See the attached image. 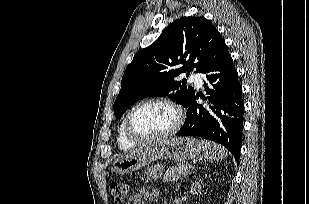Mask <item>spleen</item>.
Masks as SVG:
<instances>
[{
	"label": "spleen",
	"instance_id": "1",
	"mask_svg": "<svg viewBox=\"0 0 309 204\" xmlns=\"http://www.w3.org/2000/svg\"><path fill=\"white\" fill-rule=\"evenodd\" d=\"M203 156L208 162L217 161L227 157V151L220 145L207 140L201 141Z\"/></svg>",
	"mask_w": 309,
	"mask_h": 204
}]
</instances>
